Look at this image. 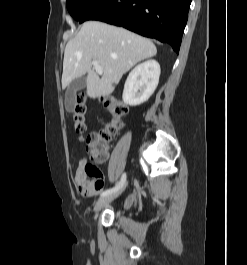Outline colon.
I'll return each instance as SVG.
<instances>
[{"instance_id":"colon-1","label":"colon","mask_w":247,"mask_h":265,"mask_svg":"<svg viewBox=\"0 0 247 265\" xmlns=\"http://www.w3.org/2000/svg\"><path fill=\"white\" fill-rule=\"evenodd\" d=\"M102 102L109 112L110 119L97 132L86 134L87 122L84 96H77L76 105L71 114V122L75 132L82 141L88 144L90 161L85 164V172L92 177L101 175L94 163L103 162L107 158L106 144L121 129L128 112L127 105L115 96H106L102 99Z\"/></svg>"}]
</instances>
